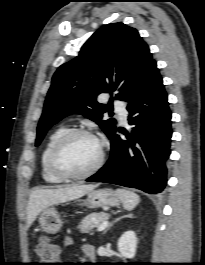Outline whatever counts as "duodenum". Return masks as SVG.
Masks as SVG:
<instances>
[{"label":"duodenum","mask_w":205,"mask_h":265,"mask_svg":"<svg viewBox=\"0 0 205 265\" xmlns=\"http://www.w3.org/2000/svg\"><path fill=\"white\" fill-rule=\"evenodd\" d=\"M85 253H86L87 257L90 260H92V261L95 260V258H96V252H95V248L92 245H88L86 247Z\"/></svg>","instance_id":"1"}]
</instances>
